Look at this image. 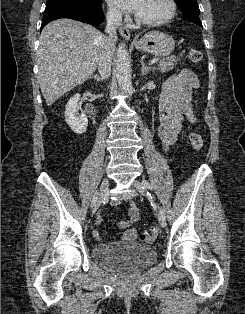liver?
Listing matches in <instances>:
<instances>
[{
    "label": "liver",
    "instance_id": "liver-1",
    "mask_svg": "<svg viewBox=\"0 0 245 314\" xmlns=\"http://www.w3.org/2000/svg\"><path fill=\"white\" fill-rule=\"evenodd\" d=\"M104 37L95 27L72 19H58L43 28L38 82L48 106L91 77Z\"/></svg>",
    "mask_w": 245,
    "mask_h": 314
}]
</instances>
